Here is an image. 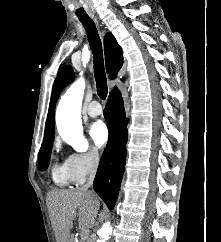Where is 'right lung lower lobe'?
<instances>
[{
    "mask_svg": "<svg viewBox=\"0 0 221 242\" xmlns=\"http://www.w3.org/2000/svg\"><path fill=\"white\" fill-rule=\"evenodd\" d=\"M104 117L109 128V140L102 154L93 187L108 208L112 209L123 177L127 142V119L123 99L116 87L109 95Z\"/></svg>",
    "mask_w": 221,
    "mask_h": 242,
    "instance_id": "obj_1",
    "label": "right lung lower lobe"
}]
</instances>
